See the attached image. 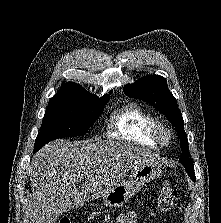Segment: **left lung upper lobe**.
Masks as SVG:
<instances>
[{
  "instance_id": "1",
  "label": "left lung upper lobe",
  "mask_w": 221,
  "mask_h": 223,
  "mask_svg": "<svg viewBox=\"0 0 221 223\" xmlns=\"http://www.w3.org/2000/svg\"><path fill=\"white\" fill-rule=\"evenodd\" d=\"M123 91L133 98L144 100L155 107L159 112L175 126L182 154L179 162L183 164L186 171L193 181L196 180L193 162L188 148L187 135L184 130V121L178 108L177 101L168 89L166 80L159 75H148L135 81L133 84H127Z\"/></svg>"
}]
</instances>
